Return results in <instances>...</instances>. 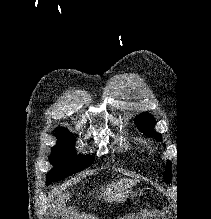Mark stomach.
<instances>
[{
  "label": "stomach",
  "mask_w": 211,
  "mask_h": 219,
  "mask_svg": "<svg viewBox=\"0 0 211 219\" xmlns=\"http://www.w3.org/2000/svg\"><path fill=\"white\" fill-rule=\"evenodd\" d=\"M134 196H136V192H133V191H130V192L127 194V197L133 198Z\"/></svg>",
  "instance_id": "stomach-1"
}]
</instances>
